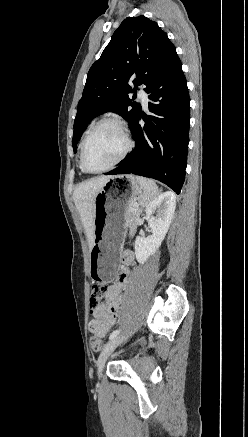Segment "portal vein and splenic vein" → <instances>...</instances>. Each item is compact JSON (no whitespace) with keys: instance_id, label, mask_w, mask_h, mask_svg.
<instances>
[{"instance_id":"1","label":"portal vein and splenic vein","mask_w":248,"mask_h":437,"mask_svg":"<svg viewBox=\"0 0 248 437\" xmlns=\"http://www.w3.org/2000/svg\"><path fill=\"white\" fill-rule=\"evenodd\" d=\"M133 205H134V207H138V204H136V203H135V204H133Z\"/></svg>"}]
</instances>
